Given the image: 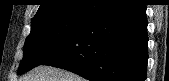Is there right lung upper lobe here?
Returning a JSON list of instances; mask_svg holds the SVG:
<instances>
[{
  "label": "right lung upper lobe",
  "instance_id": "cb5924a9",
  "mask_svg": "<svg viewBox=\"0 0 169 81\" xmlns=\"http://www.w3.org/2000/svg\"><path fill=\"white\" fill-rule=\"evenodd\" d=\"M120 0H41L32 21L61 15L91 18L110 8Z\"/></svg>",
  "mask_w": 169,
  "mask_h": 81
}]
</instances>
